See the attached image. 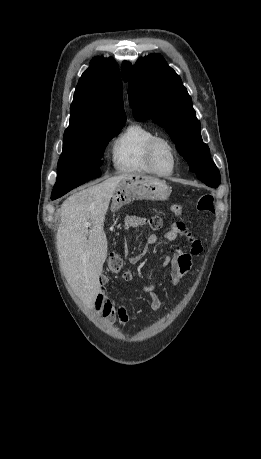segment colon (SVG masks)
Listing matches in <instances>:
<instances>
[{
  "label": "colon",
  "instance_id": "5ec220e1",
  "mask_svg": "<svg viewBox=\"0 0 261 459\" xmlns=\"http://www.w3.org/2000/svg\"><path fill=\"white\" fill-rule=\"evenodd\" d=\"M196 209L201 213H212L214 211V197L208 193L201 195L196 202ZM171 211L173 215L180 216L183 208L179 204H173L171 206ZM147 223L149 227L154 230H160L163 227L162 220L155 216L149 218ZM122 266L123 261L122 254L120 252H115L108 257L107 267L110 272L117 273L122 269Z\"/></svg>",
  "mask_w": 261,
  "mask_h": 459
}]
</instances>
